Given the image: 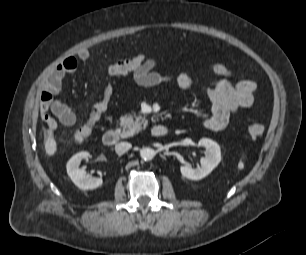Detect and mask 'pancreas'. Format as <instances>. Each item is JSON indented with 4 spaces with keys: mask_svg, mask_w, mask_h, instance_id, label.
I'll return each mask as SVG.
<instances>
[{
    "mask_svg": "<svg viewBox=\"0 0 306 255\" xmlns=\"http://www.w3.org/2000/svg\"><path fill=\"white\" fill-rule=\"evenodd\" d=\"M148 124L146 116L124 115L120 119L121 137L127 138L145 129Z\"/></svg>",
    "mask_w": 306,
    "mask_h": 255,
    "instance_id": "1",
    "label": "pancreas"
}]
</instances>
